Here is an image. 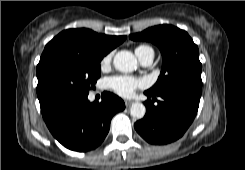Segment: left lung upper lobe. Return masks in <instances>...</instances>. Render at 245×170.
<instances>
[{"label":"left lung upper lobe","instance_id":"left-lung-upper-lobe-1","mask_svg":"<svg viewBox=\"0 0 245 170\" xmlns=\"http://www.w3.org/2000/svg\"><path fill=\"white\" fill-rule=\"evenodd\" d=\"M130 39L156 44L163 56L160 76L146 92L158 95L173 88H187L201 93L202 64L199 51L186 31L172 25H159L131 34Z\"/></svg>","mask_w":245,"mask_h":170}]
</instances>
